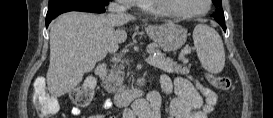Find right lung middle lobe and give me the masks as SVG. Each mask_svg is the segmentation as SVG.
Instances as JSON below:
<instances>
[{
	"label": "right lung middle lobe",
	"mask_w": 273,
	"mask_h": 118,
	"mask_svg": "<svg viewBox=\"0 0 273 118\" xmlns=\"http://www.w3.org/2000/svg\"><path fill=\"white\" fill-rule=\"evenodd\" d=\"M82 1L96 3V4H100L102 6H106L109 3V0H82Z\"/></svg>",
	"instance_id": "obj_1"
}]
</instances>
